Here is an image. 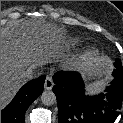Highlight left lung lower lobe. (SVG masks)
<instances>
[{
  "instance_id": "1",
  "label": "left lung lower lobe",
  "mask_w": 123,
  "mask_h": 123,
  "mask_svg": "<svg viewBox=\"0 0 123 123\" xmlns=\"http://www.w3.org/2000/svg\"><path fill=\"white\" fill-rule=\"evenodd\" d=\"M53 92L58 103L59 123H113L123 99V79L113 76L105 91L96 96L85 94L79 73L57 72Z\"/></svg>"
}]
</instances>
